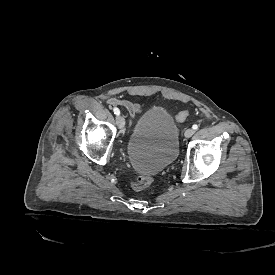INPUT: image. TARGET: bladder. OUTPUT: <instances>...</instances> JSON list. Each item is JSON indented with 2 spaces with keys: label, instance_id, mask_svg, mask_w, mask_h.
I'll return each mask as SVG.
<instances>
[{
  "label": "bladder",
  "instance_id": "31cf9c89",
  "mask_svg": "<svg viewBox=\"0 0 275 275\" xmlns=\"http://www.w3.org/2000/svg\"><path fill=\"white\" fill-rule=\"evenodd\" d=\"M178 126L167 106H150L137 119L129 138V158L142 174L160 173L179 153Z\"/></svg>",
  "mask_w": 275,
  "mask_h": 275
}]
</instances>
